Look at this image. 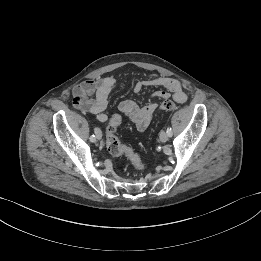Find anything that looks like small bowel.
<instances>
[{
  "label": "small bowel",
  "mask_w": 261,
  "mask_h": 261,
  "mask_svg": "<svg viewBox=\"0 0 261 261\" xmlns=\"http://www.w3.org/2000/svg\"><path fill=\"white\" fill-rule=\"evenodd\" d=\"M116 85L117 79L114 76L86 80L74 87L73 103L82 112L94 114L97 121L106 122L108 116L104 111L109 95ZM145 87L162 89L156 91L151 99L142 106L131 99L122 101L118 106L119 111L132 121L139 131H144L149 126L157 108L156 100L172 97L178 103L187 101V94L181 83L175 78L151 74L148 79L138 80L133 86V91L138 93Z\"/></svg>",
  "instance_id": "obj_1"
}]
</instances>
